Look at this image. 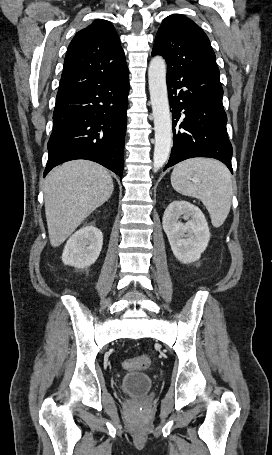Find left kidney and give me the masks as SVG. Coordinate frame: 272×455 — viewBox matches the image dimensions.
I'll list each match as a JSON object with an SVG mask.
<instances>
[{
    "label": "left kidney",
    "instance_id": "left-kidney-1",
    "mask_svg": "<svg viewBox=\"0 0 272 455\" xmlns=\"http://www.w3.org/2000/svg\"><path fill=\"white\" fill-rule=\"evenodd\" d=\"M181 217L188 222L181 223ZM163 229L173 254L182 263L198 260L210 240L204 214L197 206L186 201H173L168 205L163 215Z\"/></svg>",
    "mask_w": 272,
    "mask_h": 455
}]
</instances>
